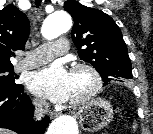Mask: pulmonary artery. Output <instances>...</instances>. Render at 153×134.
Returning a JSON list of instances; mask_svg holds the SVG:
<instances>
[{"label": "pulmonary artery", "mask_w": 153, "mask_h": 134, "mask_svg": "<svg viewBox=\"0 0 153 134\" xmlns=\"http://www.w3.org/2000/svg\"><path fill=\"white\" fill-rule=\"evenodd\" d=\"M69 49V41L60 38L52 43L39 46L35 50L28 52L25 57L17 64V70L30 69L45 64L55 57L65 54Z\"/></svg>", "instance_id": "1"}]
</instances>
